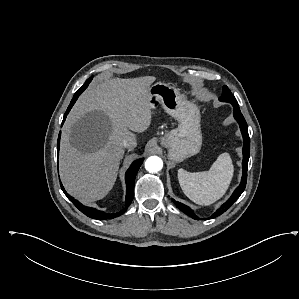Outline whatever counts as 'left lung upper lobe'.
I'll use <instances>...</instances> for the list:
<instances>
[{
	"label": "left lung upper lobe",
	"mask_w": 299,
	"mask_h": 299,
	"mask_svg": "<svg viewBox=\"0 0 299 299\" xmlns=\"http://www.w3.org/2000/svg\"><path fill=\"white\" fill-rule=\"evenodd\" d=\"M219 100L229 103L237 102L236 98L232 95L231 91L227 86L223 87L222 96L219 98Z\"/></svg>",
	"instance_id": "5c2ea615"
}]
</instances>
